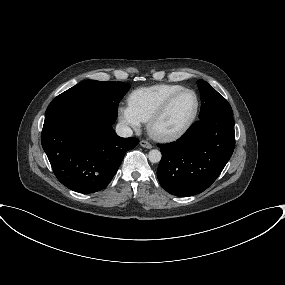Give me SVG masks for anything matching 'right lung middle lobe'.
I'll list each match as a JSON object with an SVG mask.
<instances>
[{
  "instance_id": "obj_1",
  "label": "right lung middle lobe",
  "mask_w": 285,
  "mask_h": 285,
  "mask_svg": "<svg viewBox=\"0 0 285 285\" xmlns=\"http://www.w3.org/2000/svg\"><path fill=\"white\" fill-rule=\"evenodd\" d=\"M130 85L123 82L87 80L63 92L56 98L77 101L95 108L103 114L117 117L120 100Z\"/></svg>"
}]
</instances>
